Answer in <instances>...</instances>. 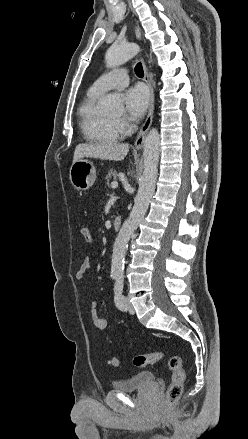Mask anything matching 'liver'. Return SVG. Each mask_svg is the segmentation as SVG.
<instances>
[{
    "mask_svg": "<svg viewBox=\"0 0 248 439\" xmlns=\"http://www.w3.org/2000/svg\"><path fill=\"white\" fill-rule=\"evenodd\" d=\"M129 152V145L118 142L81 143L74 151L73 163L83 158L121 161Z\"/></svg>",
    "mask_w": 248,
    "mask_h": 439,
    "instance_id": "6515ba94",
    "label": "liver"
}]
</instances>
